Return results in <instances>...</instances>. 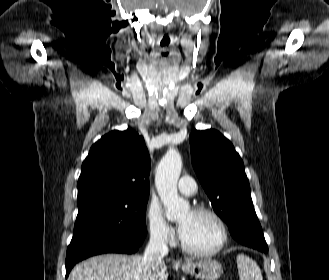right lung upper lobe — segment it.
Returning a JSON list of instances; mask_svg holds the SVG:
<instances>
[{"label": "right lung upper lobe", "instance_id": "right-lung-upper-lobe-1", "mask_svg": "<svg viewBox=\"0 0 329 280\" xmlns=\"http://www.w3.org/2000/svg\"><path fill=\"white\" fill-rule=\"evenodd\" d=\"M150 157L132 129L114 130L90 149L78 180V199L149 196Z\"/></svg>", "mask_w": 329, "mask_h": 280}]
</instances>
